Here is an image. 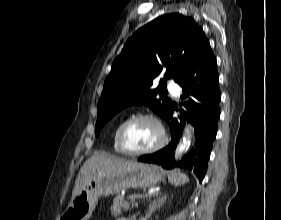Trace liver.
<instances>
[{"label":"liver","mask_w":281,"mask_h":220,"mask_svg":"<svg viewBox=\"0 0 281 220\" xmlns=\"http://www.w3.org/2000/svg\"><path fill=\"white\" fill-rule=\"evenodd\" d=\"M134 161H127L117 157L110 156L106 153L95 152L81 167L80 172L75 181L72 193V199L83 189L85 183L99 170L118 169L130 164Z\"/></svg>","instance_id":"obj_1"}]
</instances>
